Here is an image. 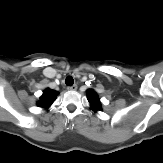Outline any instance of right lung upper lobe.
I'll return each instance as SVG.
<instances>
[{"mask_svg":"<svg viewBox=\"0 0 163 163\" xmlns=\"http://www.w3.org/2000/svg\"><path fill=\"white\" fill-rule=\"evenodd\" d=\"M57 95V91L46 89L43 92V95L40 97V100L38 101V106L43 108L49 107L54 102Z\"/></svg>","mask_w":163,"mask_h":163,"instance_id":"cb5924a9","label":"right lung upper lobe"}]
</instances>
